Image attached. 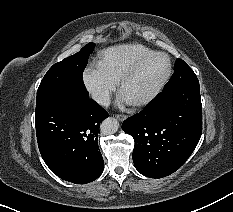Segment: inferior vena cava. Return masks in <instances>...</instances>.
I'll return each mask as SVG.
<instances>
[{"mask_svg": "<svg viewBox=\"0 0 233 212\" xmlns=\"http://www.w3.org/2000/svg\"><path fill=\"white\" fill-rule=\"evenodd\" d=\"M92 98L99 103L100 105L103 106H109L110 105V95L107 91H99V92H94L92 94Z\"/></svg>", "mask_w": 233, "mask_h": 212, "instance_id": "602c4592", "label": "inferior vena cava"}]
</instances>
